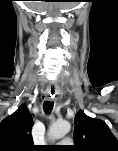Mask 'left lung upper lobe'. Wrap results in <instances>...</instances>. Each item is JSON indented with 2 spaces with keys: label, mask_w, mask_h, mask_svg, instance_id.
Masks as SVG:
<instances>
[{
  "label": "left lung upper lobe",
  "mask_w": 118,
  "mask_h": 151,
  "mask_svg": "<svg viewBox=\"0 0 118 151\" xmlns=\"http://www.w3.org/2000/svg\"><path fill=\"white\" fill-rule=\"evenodd\" d=\"M74 139L78 151H118V141L107 124L83 111L75 117Z\"/></svg>",
  "instance_id": "5c2ea615"
}]
</instances>
